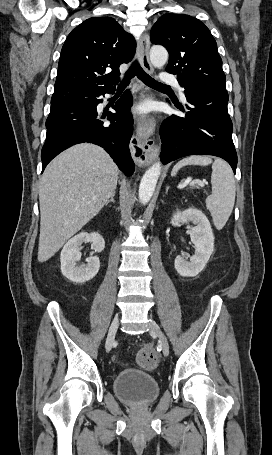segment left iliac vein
Here are the masks:
<instances>
[{"mask_svg": "<svg viewBox=\"0 0 272 455\" xmlns=\"http://www.w3.org/2000/svg\"><path fill=\"white\" fill-rule=\"evenodd\" d=\"M149 331L159 338L163 354L167 357L169 355V343L160 326L155 321H151L149 324Z\"/></svg>", "mask_w": 272, "mask_h": 455, "instance_id": "obj_1", "label": "left iliac vein"}]
</instances>
